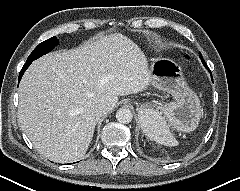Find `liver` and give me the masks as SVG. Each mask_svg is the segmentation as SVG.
I'll return each mask as SVG.
<instances>
[{
    "label": "liver",
    "mask_w": 240,
    "mask_h": 191,
    "mask_svg": "<svg viewBox=\"0 0 240 191\" xmlns=\"http://www.w3.org/2000/svg\"><path fill=\"white\" fill-rule=\"evenodd\" d=\"M151 84L140 48L121 34L51 52L35 60L19 85L18 120L39 153L68 163L81 159L96 124L117 105L118 96ZM105 103L104 113L96 110Z\"/></svg>",
    "instance_id": "liver-1"
}]
</instances>
